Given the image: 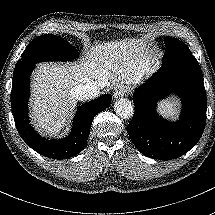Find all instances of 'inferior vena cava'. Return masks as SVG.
Returning a JSON list of instances; mask_svg holds the SVG:
<instances>
[{"instance_id":"inferior-vena-cava-1","label":"inferior vena cava","mask_w":215,"mask_h":215,"mask_svg":"<svg viewBox=\"0 0 215 215\" xmlns=\"http://www.w3.org/2000/svg\"><path fill=\"white\" fill-rule=\"evenodd\" d=\"M103 87L104 85L99 81L83 83L78 85L74 90V96L79 100L94 98L100 94Z\"/></svg>"}]
</instances>
